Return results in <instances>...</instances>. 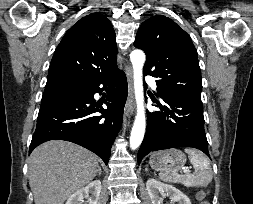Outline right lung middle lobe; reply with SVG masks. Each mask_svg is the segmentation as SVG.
Here are the masks:
<instances>
[{
  "label": "right lung middle lobe",
  "mask_w": 253,
  "mask_h": 204,
  "mask_svg": "<svg viewBox=\"0 0 253 204\" xmlns=\"http://www.w3.org/2000/svg\"><path fill=\"white\" fill-rule=\"evenodd\" d=\"M84 86L85 85L83 84L68 81L47 82L42 98L61 94L76 93L83 90Z\"/></svg>",
  "instance_id": "obj_1"
}]
</instances>
